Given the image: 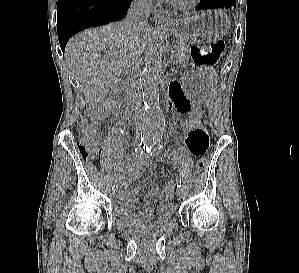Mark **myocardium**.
Listing matches in <instances>:
<instances>
[{
	"label": "myocardium",
	"instance_id": "myocardium-1",
	"mask_svg": "<svg viewBox=\"0 0 299 273\" xmlns=\"http://www.w3.org/2000/svg\"><path fill=\"white\" fill-rule=\"evenodd\" d=\"M169 5L176 11L188 12L195 8L200 0H189L185 3H180L175 0H167Z\"/></svg>",
	"mask_w": 299,
	"mask_h": 273
}]
</instances>
